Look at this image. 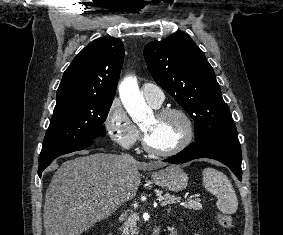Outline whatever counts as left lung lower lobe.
<instances>
[{"label":"left lung lower lobe","mask_w":283,"mask_h":235,"mask_svg":"<svg viewBox=\"0 0 283 235\" xmlns=\"http://www.w3.org/2000/svg\"><path fill=\"white\" fill-rule=\"evenodd\" d=\"M197 158H211L227 165L241 181V147L236 134L198 140L164 162L185 163Z\"/></svg>","instance_id":"0a47b994"}]
</instances>
